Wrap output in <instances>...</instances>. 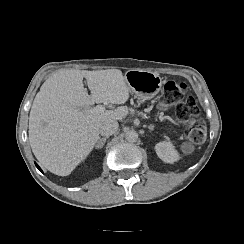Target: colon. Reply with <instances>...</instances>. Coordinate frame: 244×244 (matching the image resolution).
Returning a JSON list of instances; mask_svg holds the SVG:
<instances>
[{"instance_id": "colon-1", "label": "colon", "mask_w": 244, "mask_h": 244, "mask_svg": "<svg viewBox=\"0 0 244 244\" xmlns=\"http://www.w3.org/2000/svg\"><path fill=\"white\" fill-rule=\"evenodd\" d=\"M188 90L186 82L168 80L160 95L159 109L163 113L172 110L184 122L188 139L194 144H201L207 135L206 123L196 100L187 95Z\"/></svg>"}]
</instances>
